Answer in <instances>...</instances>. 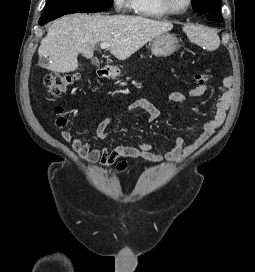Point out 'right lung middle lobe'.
Instances as JSON below:
<instances>
[{
  "label": "right lung middle lobe",
  "instance_id": "dd1d6c3e",
  "mask_svg": "<svg viewBox=\"0 0 255 272\" xmlns=\"http://www.w3.org/2000/svg\"><path fill=\"white\" fill-rule=\"evenodd\" d=\"M113 0H47L43 16L78 12H103L110 9Z\"/></svg>",
  "mask_w": 255,
  "mask_h": 272
}]
</instances>
